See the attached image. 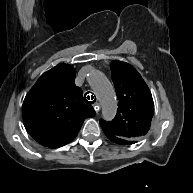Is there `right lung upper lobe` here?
<instances>
[{"instance_id": "1", "label": "right lung upper lobe", "mask_w": 193, "mask_h": 193, "mask_svg": "<svg viewBox=\"0 0 193 193\" xmlns=\"http://www.w3.org/2000/svg\"><path fill=\"white\" fill-rule=\"evenodd\" d=\"M75 73L71 65L58 64L45 72L25 97V128L44 146L58 148L71 142L84 120L95 115L93 107L83 102Z\"/></svg>"}]
</instances>
